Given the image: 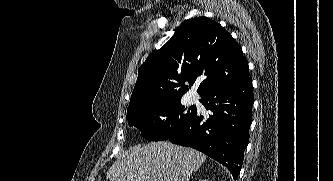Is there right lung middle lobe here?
<instances>
[{
  "instance_id": "1",
  "label": "right lung middle lobe",
  "mask_w": 333,
  "mask_h": 181,
  "mask_svg": "<svg viewBox=\"0 0 333 181\" xmlns=\"http://www.w3.org/2000/svg\"><path fill=\"white\" fill-rule=\"evenodd\" d=\"M196 112V107L185 108L181 98L144 103L127 111L129 125L138 128L144 138L167 140Z\"/></svg>"
}]
</instances>
